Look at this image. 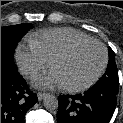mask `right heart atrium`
<instances>
[{"label": "right heart atrium", "mask_w": 123, "mask_h": 123, "mask_svg": "<svg viewBox=\"0 0 123 123\" xmlns=\"http://www.w3.org/2000/svg\"><path fill=\"white\" fill-rule=\"evenodd\" d=\"M15 59L21 73L27 78L35 77L50 64V61L30 43L18 45Z\"/></svg>", "instance_id": "obj_1"}]
</instances>
